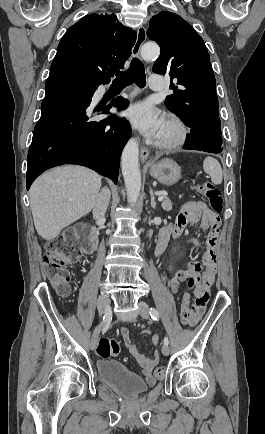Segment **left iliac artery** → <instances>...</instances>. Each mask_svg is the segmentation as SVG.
Segmentation results:
<instances>
[{
  "mask_svg": "<svg viewBox=\"0 0 265 434\" xmlns=\"http://www.w3.org/2000/svg\"><path fill=\"white\" fill-rule=\"evenodd\" d=\"M150 316L153 320H158L159 319V312L157 311V309L151 307L150 308ZM164 344L168 345L169 344V339L167 337L164 338Z\"/></svg>",
  "mask_w": 265,
  "mask_h": 434,
  "instance_id": "obj_1",
  "label": "left iliac artery"
}]
</instances>
